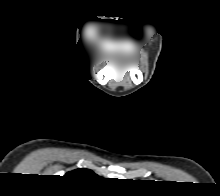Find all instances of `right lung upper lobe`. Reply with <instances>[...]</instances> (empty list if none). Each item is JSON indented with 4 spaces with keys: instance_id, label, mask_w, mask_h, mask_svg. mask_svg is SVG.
I'll return each mask as SVG.
<instances>
[{
    "instance_id": "right-lung-upper-lobe-1",
    "label": "right lung upper lobe",
    "mask_w": 220,
    "mask_h": 196,
    "mask_svg": "<svg viewBox=\"0 0 220 196\" xmlns=\"http://www.w3.org/2000/svg\"><path fill=\"white\" fill-rule=\"evenodd\" d=\"M65 176L77 178V179H92L98 178V176L89 169H77L71 172H68Z\"/></svg>"
}]
</instances>
